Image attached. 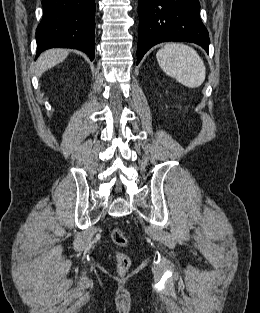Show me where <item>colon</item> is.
Segmentation results:
<instances>
[{"label": "colon", "mask_w": 260, "mask_h": 313, "mask_svg": "<svg viewBox=\"0 0 260 313\" xmlns=\"http://www.w3.org/2000/svg\"><path fill=\"white\" fill-rule=\"evenodd\" d=\"M111 238L113 242L119 246H126L128 243L127 237L123 233L121 229H114L111 232ZM116 257V268L119 275H125L130 266H131V258L128 254L118 251L115 254Z\"/></svg>", "instance_id": "obj_1"}]
</instances>
